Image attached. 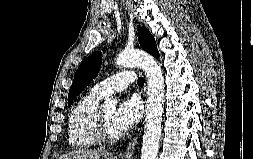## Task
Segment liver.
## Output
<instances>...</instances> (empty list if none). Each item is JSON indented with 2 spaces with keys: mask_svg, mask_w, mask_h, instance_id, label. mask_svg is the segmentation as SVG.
Masks as SVG:
<instances>
[{
  "mask_svg": "<svg viewBox=\"0 0 253 159\" xmlns=\"http://www.w3.org/2000/svg\"><path fill=\"white\" fill-rule=\"evenodd\" d=\"M59 159H115V157L104 150L79 149L64 154Z\"/></svg>",
  "mask_w": 253,
  "mask_h": 159,
  "instance_id": "liver-1",
  "label": "liver"
}]
</instances>
